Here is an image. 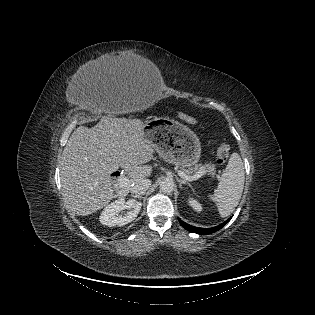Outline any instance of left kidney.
Wrapping results in <instances>:
<instances>
[{"label":"left kidney","instance_id":"5707ae66","mask_svg":"<svg viewBox=\"0 0 315 315\" xmlns=\"http://www.w3.org/2000/svg\"><path fill=\"white\" fill-rule=\"evenodd\" d=\"M188 203H189V206H191L195 211H197V212L202 211V206L197 200L190 198L188 200Z\"/></svg>","mask_w":315,"mask_h":315}]
</instances>
